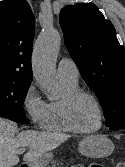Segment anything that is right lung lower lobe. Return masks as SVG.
I'll use <instances>...</instances> for the list:
<instances>
[{"label":"right lung lower lobe","instance_id":"obj_1","mask_svg":"<svg viewBox=\"0 0 125 167\" xmlns=\"http://www.w3.org/2000/svg\"><path fill=\"white\" fill-rule=\"evenodd\" d=\"M0 117L12 120L17 123H25V124L29 123V120L26 118L25 115L15 113L3 107H0Z\"/></svg>","mask_w":125,"mask_h":167}]
</instances>
